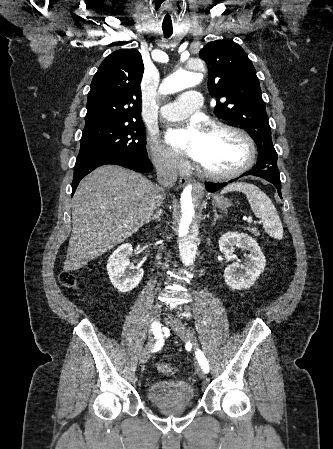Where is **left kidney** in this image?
Here are the masks:
<instances>
[{
    "label": "left kidney",
    "mask_w": 333,
    "mask_h": 449,
    "mask_svg": "<svg viewBox=\"0 0 333 449\" xmlns=\"http://www.w3.org/2000/svg\"><path fill=\"white\" fill-rule=\"evenodd\" d=\"M235 246L249 252L247 255L249 262L245 265L230 264L224 271V278L230 288L240 290L254 284L265 268L266 259L256 240L248 234L228 232L219 239L220 251L226 256H231L234 253ZM239 268L244 270L240 275L237 274Z\"/></svg>",
    "instance_id": "obj_1"
}]
</instances>
